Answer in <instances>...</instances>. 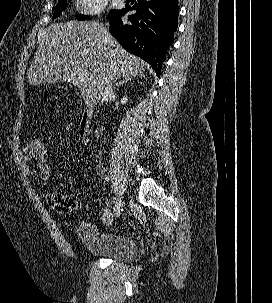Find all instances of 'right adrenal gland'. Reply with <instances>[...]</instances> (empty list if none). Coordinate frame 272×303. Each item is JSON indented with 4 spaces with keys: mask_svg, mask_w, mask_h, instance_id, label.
<instances>
[{
    "mask_svg": "<svg viewBox=\"0 0 272 303\" xmlns=\"http://www.w3.org/2000/svg\"><path fill=\"white\" fill-rule=\"evenodd\" d=\"M130 79H121L120 81H118L117 83H115V87H119L122 86L123 84L127 83Z\"/></svg>",
    "mask_w": 272,
    "mask_h": 303,
    "instance_id": "right-adrenal-gland-1",
    "label": "right adrenal gland"
}]
</instances>
